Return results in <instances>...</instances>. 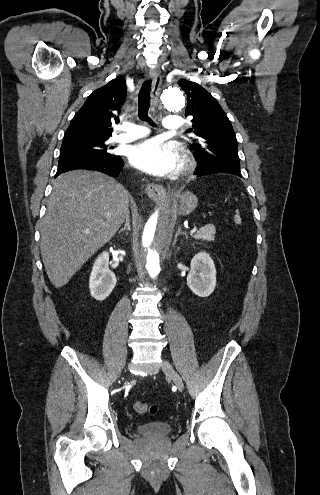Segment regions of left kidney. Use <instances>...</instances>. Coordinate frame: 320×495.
I'll return each mask as SVG.
<instances>
[{
    "label": "left kidney",
    "mask_w": 320,
    "mask_h": 495,
    "mask_svg": "<svg viewBox=\"0 0 320 495\" xmlns=\"http://www.w3.org/2000/svg\"><path fill=\"white\" fill-rule=\"evenodd\" d=\"M188 287L198 296L207 297L216 286V268L210 255L199 252L191 260Z\"/></svg>",
    "instance_id": "5707ae66"
}]
</instances>
